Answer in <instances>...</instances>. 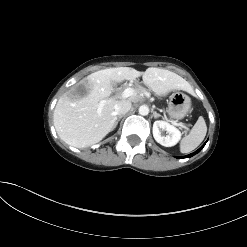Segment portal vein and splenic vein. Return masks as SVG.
Segmentation results:
<instances>
[{"mask_svg":"<svg viewBox=\"0 0 247 247\" xmlns=\"http://www.w3.org/2000/svg\"><path fill=\"white\" fill-rule=\"evenodd\" d=\"M135 94V90L133 88H126L122 94L121 97L122 98H128L130 96H133ZM106 103V100H103L99 103V109H101ZM174 125L179 126L181 128H183V124L182 123H177L176 121H171Z\"/></svg>","mask_w":247,"mask_h":247,"instance_id":"1","label":"portal vein and splenic vein"}]
</instances>
